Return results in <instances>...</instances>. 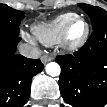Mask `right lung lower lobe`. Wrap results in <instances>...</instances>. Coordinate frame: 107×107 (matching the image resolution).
<instances>
[{
    "label": "right lung lower lobe",
    "mask_w": 107,
    "mask_h": 107,
    "mask_svg": "<svg viewBox=\"0 0 107 107\" xmlns=\"http://www.w3.org/2000/svg\"><path fill=\"white\" fill-rule=\"evenodd\" d=\"M18 36H0V107H22L30 96L32 77L41 72L40 60L15 54Z\"/></svg>",
    "instance_id": "right-lung-lower-lobe-1"
}]
</instances>
